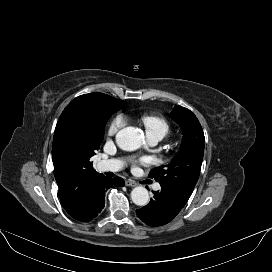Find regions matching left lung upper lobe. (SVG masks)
<instances>
[{"label": "left lung upper lobe", "mask_w": 272, "mask_h": 272, "mask_svg": "<svg viewBox=\"0 0 272 272\" xmlns=\"http://www.w3.org/2000/svg\"><path fill=\"white\" fill-rule=\"evenodd\" d=\"M171 115L183 132L180 150L167 166L152 169L149 177L188 201L199 178L205 137L198 119L189 109L177 105Z\"/></svg>", "instance_id": "1"}]
</instances>
